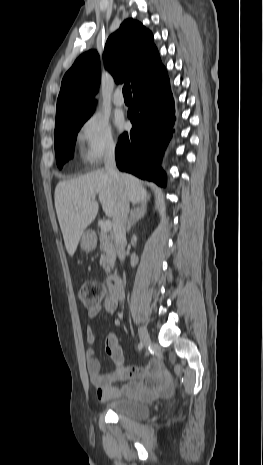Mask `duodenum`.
<instances>
[{"label": "duodenum", "instance_id": "obj_1", "mask_svg": "<svg viewBox=\"0 0 263 465\" xmlns=\"http://www.w3.org/2000/svg\"><path fill=\"white\" fill-rule=\"evenodd\" d=\"M108 285L109 288L112 292V294L117 297L121 298L123 296V289H122V284L118 276L116 275H111L108 278Z\"/></svg>", "mask_w": 263, "mask_h": 465}]
</instances>
